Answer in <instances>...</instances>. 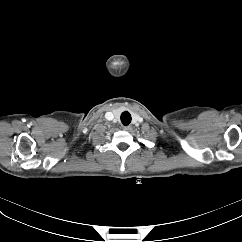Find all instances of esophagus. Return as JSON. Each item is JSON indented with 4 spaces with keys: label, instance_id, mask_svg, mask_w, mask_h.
I'll list each match as a JSON object with an SVG mask.
<instances>
[{
    "label": "esophagus",
    "instance_id": "esophagus-1",
    "mask_svg": "<svg viewBox=\"0 0 242 242\" xmlns=\"http://www.w3.org/2000/svg\"><path fill=\"white\" fill-rule=\"evenodd\" d=\"M123 129H124L125 131H130V130L132 129V127H131V126H124Z\"/></svg>",
    "mask_w": 242,
    "mask_h": 242
}]
</instances>
